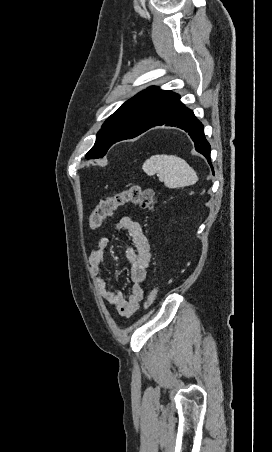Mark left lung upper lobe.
I'll return each mask as SVG.
<instances>
[{"instance_id": "1", "label": "left lung upper lobe", "mask_w": 272, "mask_h": 452, "mask_svg": "<svg viewBox=\"0 0 272 452\" xmlns=\"http://www.w3.org/2000/svg\"><path fill=\"white\" fill-rule=\"evenodd\" d=\"M174 95V92L153 86L126 101L104 122L86 158H101L117 141L131 139L146 131Z\"/></svg>"}]
</instances>
